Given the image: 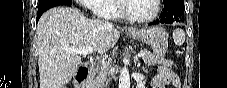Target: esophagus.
I'll return each mask as SVG.
<instances>
[{"label": "esophagus", "mask_w": 227, "mask_h": 88, "mask_svg": "<svg viewBox=\"0 0 227 88\" xmlns=\"http://www.w3.org/2000/svg\"><path fill=\"white\" fill-rule=\"evenodd\" d=\"M125 30L131 31V30H133V28L126 27Z\"/></svg>", "instance_id": "1"}]
</instances>
